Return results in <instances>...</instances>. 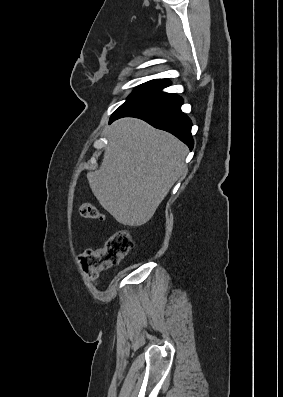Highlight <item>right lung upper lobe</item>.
Here are the masks:
<instances>
[{
    "instance_id": "right-lung-upper-lobe-1",
    "label": "right lung upper lobe",
    "mask_w": 283,
    "mask_h": 397,
    "mask_svg": "<svg viewBox=\"0 0 283 397\" xmlns=\"http://www.w3.org/2000/svg\"><path fill=\"white\" fill-rule=\"evenodd\" d=\"M157 81H165L169 83V81H167L166 79H157Z\"/></svg>"
}]
</instances>
